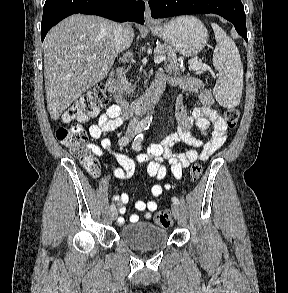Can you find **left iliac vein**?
<instances>
[{
  "label": "left iliac vein",
  "mask_w": 288,
  "mask_h": 293,
  "mask_svg": "<svg viewBox=\"0 0 288 293\" xmlns=\"http://www.w3.org/2000/svg\"><path fill=\"white\" fill-rule=\"evenodd\" d=\"M171 209H172V213H173L174 218L178 220L180 218V209H179L178 205L172 204Z\"/></svg>",
  "instance_id": "obj_1"
}]
</instances>
